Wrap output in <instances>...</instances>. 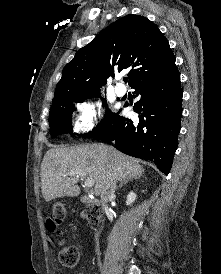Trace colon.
<instances>
[{
  "instance_id": "5ec220e1",
  "label": "colon",
  "mask_w": 221,
  "mask_h": 274,
  "mask_svg": "<svg viewBox=\"0 0 221 274\" xmlns=\"http://www.w3.org/2000/svg\"><path fill=\"white\" fill-rule=\"evenodd\" d=\"M101 215V209L99 206L91 207L83 212V217L89 222H97ZM66 216V208L62 203H56L51 210V219L56 227L60 226ZM59 251V261L66 267H74L79 259L78 249L74 246H65L61 244Z\"/></svg>"
}]
</instances>
